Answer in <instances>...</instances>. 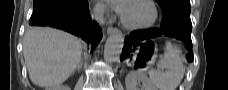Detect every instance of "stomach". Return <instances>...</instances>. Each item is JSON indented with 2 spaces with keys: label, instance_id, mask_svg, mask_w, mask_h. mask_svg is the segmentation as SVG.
Instances as JSON below:
<instances>
[{
  "label": "stomach",
  "instance_id": "stomach-1",
  "mask_svg": "<svg viewBox=\"0 0 228 90\" xmlns=\"http://www.w3.org/2000/svg\"><path fill=\"white\" fill-rule=\"evenodd\" d=\"M157 48L152 41L144 42V47L139 48L133 58V63L139 67L149 68L156 59Z\"/></svg>",
  "mask_w": 228,
  "mask_h": 90
}]
</instances>
